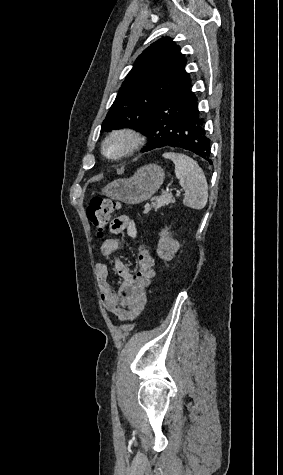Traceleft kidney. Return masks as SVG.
<instances>
[{
	"label": "left kidney",
	"instance_id": "5707ae66",
	"mask_svg": "<svg viewBox=\"0 0 283 475\" xmlns=\"http://www.w3.org/2000/svg\"><path fill=\"white\" fill-rule=\"evenodd\" d=\"M159 236L160 239L158 241L157 253L159 257H162V259H167V261H169V259L174 257L176 251H178L180 243L177 241V239L171 238L168 228L162 230Z\"/></svg>",
	"mask_w": 283,
	"mask_h": 475
}]
</instances>
